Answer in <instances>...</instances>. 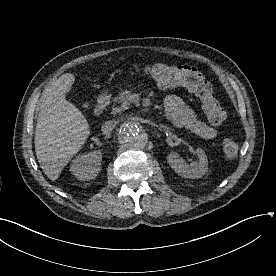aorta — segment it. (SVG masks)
<instances>
[{
    "label": "aorta",
    "mask_w": 276,
    "mask_h": 276,
    "mask_svg": "<svg viewBox=\"0 0 276 276\" xmlns=\"http://www.w3.org/2000/svg\"><path fill=\"white\" fill-rule=\"evenodd\" d=\"M119 138L122 143L132 149L143 148L147 141V135L142 131L139 124L134 121L124 122L119 129Z\"/></svg>",
    "instance_id": "762f6f07"
}]
</instances>
